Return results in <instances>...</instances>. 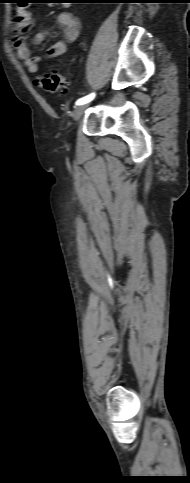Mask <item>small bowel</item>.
Wrapping results in <instances>:
<instances>
[{"instance_id": "1", "label": "small bowel", "mask_w": 190, "mask_h": 483, "mask_svg": "<svg viewBox=\"0 0 190 483\" xmlns=\"http://www.w3.org/2000/svg\"><path fill=\"white\" fill-rule=\"evenodd\" d=\"M14 22L12 42L16 57L31 74L37 73L38 63L42 58L50 59L63 55L67 51L68 45L77 39L81 29V23L73 12L68 10L60 12L57 22L63 28V38L50 46L43 56H32L24 39V34L33 26L29 8L21 6L15 13ZM47 36L46 31H38L33 36V43L42 44Z\"/></svg>"}]
</instances>
